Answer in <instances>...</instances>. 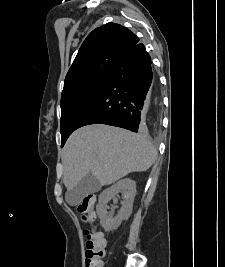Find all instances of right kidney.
Returning <instances> with one entry per match:
<instances>
[{"instance_id":"right-kidney-1","label":"right kidney","mask_w":225,"mask_h":267,"mask_svg":"<svg viewBox=\"0 0 225 267\" xmlns=\"http://www.w3.org/2000/svg\"><path fill=\"white\" fill-rule=\"evenodd\" d=\"M120 192L123 194L124 201L122 202V208L117 216L113 218L112 215H109L107 212V204L111 199L117 202L116 196ZM135 195L136 183L130 178H125L116 182L100 194L96 211L100 219V224L105 231L110 232L117 229L123 220L130 217Z\"/></svg>"}]
</instances>
